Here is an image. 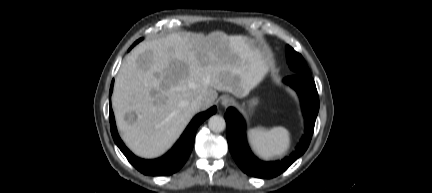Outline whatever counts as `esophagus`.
<instances>
[{"mask_svg": "<svg viewBox=\"0 0 432 193\" xmlns=\"http://www.w3.org/2000/svg\"><path fill=\"white\" fill-rule=\"evenodd\" d=\"M234 102L233 98L225 96L221 99V105L227 107Z\"/></svg>", "mask_w": 432, "mask_h": 193, "instance_id": "esophagus-1", "label": "esophagus"}]
</instances>
